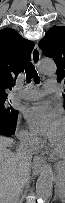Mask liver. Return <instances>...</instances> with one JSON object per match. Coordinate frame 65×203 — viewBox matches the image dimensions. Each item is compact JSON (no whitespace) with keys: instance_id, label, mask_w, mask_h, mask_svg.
Segmentation results:
<instances>
[{"instance_id":"obj_1","label":"liver","mask_w":65,"mask_h":203,"mask_svg":"<svg viewBox=\"0 0 65 203\" xmlns=\"http://www.w3.org/2000/svg\"><path fill=\"white\" fill-rule=\"evenodd\" d=\"M13 144V140L6 137H0V199L9 200L14 190L15 184L23 178L28 179L31 162L28 163V170L22 173L20 168L22 162L16 157V154L7 149Z\"/></svg>"}]
</instances>
